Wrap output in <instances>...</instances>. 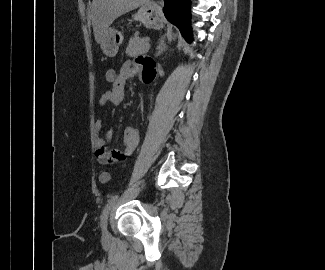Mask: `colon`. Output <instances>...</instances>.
<instances>
[{
	"label": "colon",
	"mask_w": 325,
	"mask_h": 270,
	"mask_svg": "<svg viewBox=\"0 0 325 270\" xmlns=\"http://www.w3.org/2000/svg\"><path fill=\"white\" fill-rule=\"evenodd\" d=\"M105 80L108 84L112 86L116 84L118 80V72L116 71V69L112 67L108 68L105 72ZM109 179H110V175L108 172H102L99 175V180L102 184L107 183Z\"/></svg>",
	"instance_id": "obj_1"
}]
</instances>
